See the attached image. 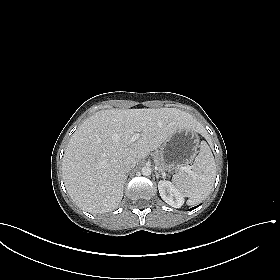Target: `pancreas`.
<instances>
[{"mask_svg": "<svg viewBox=\"0 0 280 280\" xmlns=\"http://www.w3.org/2000/svg\"><path fill=\"white\" fill-rule=\"evenodd\" d=\"M155 162L157 163V165L159 166V170H161L162 171V167H161V165H160V161H159V159H158V157L156 156L155 157Z\"/></svg>", "mask_w": 280, "mask_h": 280, "instance_id": "cf45deb5", "label": "pancreas"}]
</instances>
